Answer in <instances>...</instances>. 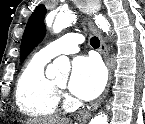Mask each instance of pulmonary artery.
Returning a JSON list of instances; mask_svg holds the SVG:
<instances>
[{
    "label": "pulmonary artery",
    "instance_id": "1",
    "mask_svg": "<svg viewBox=\"0 0 145 124\" xmlns=\"http://www.w3.org/2000/svg\"><path fill=\"white\" fill-rule=\"evenodd\" d=\"M81 43L82 38L79 34L69 33L41 48L38 54L48 60L60 54H74L80 50Z\"/></svg>",
    "mask_w": 145,
    "mask_h": 124
}]
</instances>
